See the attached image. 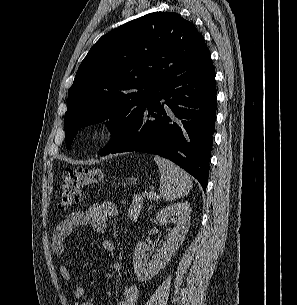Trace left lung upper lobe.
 <instances>
[{
	"label": "left lung upper lobe",
	"instance_id": "left-lung-upper-lobe-1",
	"mask_svg": "<svg viewBox=\"0 0 297 305\" xmlns=\"http://www.w3.org/2000/svg\"><path fill=\"white\" fill-rule=\"evenodd\" d=\"M211 64L202 35L177 13H150L105 34L82 61L68 92L67 149L80 128L108 120L113 137L106 151L125 137L162 85Z\"/></svg>",
	"mask_w": 297,
	"mask_h": 305
}]
</instances>
